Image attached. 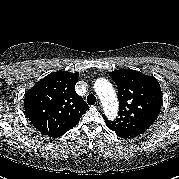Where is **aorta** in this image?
Instances as JSON below:
<instances>
[{
    "mask_svg": "<svg viewBox=\"0 0 179 179\" xmlns=\"http://www.w3.org/2000/svg\"><path fill=\"white\" fill-rule=\"evenodd\" d=\"M95 92L101 100L107 118L113 120L118 113V101L109 81L99 78L94 84Z\"/></svg>",
    "mask_w": 179,
    "mask_h": 179,
    "instance_id": "obj_1",
    "label": "aorta"
}]
</instances>
